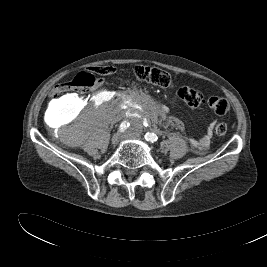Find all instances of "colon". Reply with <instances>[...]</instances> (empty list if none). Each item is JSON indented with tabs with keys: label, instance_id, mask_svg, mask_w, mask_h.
I'll return each mask as SVG.
<instances>
[{
	"label": "colon",
	"instance_id": "colon-1",
	"mask_svg": "<svg viewBox=\"0 0 267 267\" xmlns=\"http://www.w3.org/2000/svg\"><path fill=\"white\" fill-rule=\"evenodd\" d=\"M113 72L114 68L111 66H96L88 72H80L70 81L56 85L51 92V97L59 99L72 91H87L97 84L95 75L104 76ZM133 75L138 81L150 85L162 88H169L173 85L171 75L158 67L137 66L133 69ZM178 95L191 108L207 105L218 115H225L229 111V103L225 98L220 96L205 97L199 90L189 86L179 88ZM72 99L74 100V97ZM226 132L227 126L225 123H218L215 126V133L218 136H224Z\"/></svg>",
	"mask_w": 267,
	"mask_h": 267
}]
</instances>
